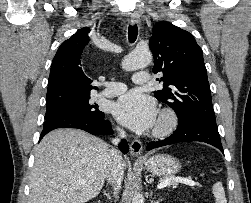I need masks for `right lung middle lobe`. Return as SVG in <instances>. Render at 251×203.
Instances as JSON below:
<instances>
[{"label":"right lung middle lobe","mask_w":251,"mask_h":203,"mask_svg":"<svg viewBox=\"0 0 251 203\" xmlns=\"http://www.w3.org/2000/svg\"><path fill=\"white\" fill-rule=\"evenodd\" d=\"M89 99L90 98L56 107L46 108L45 119L69 113L85 114L97 119H104V113L96 109L95 105L89 104Z\"/></svg>","instance_id":"obj_1"}]
</instances>
